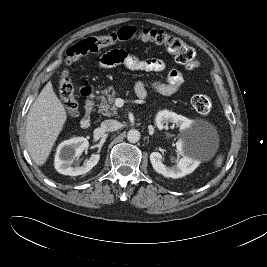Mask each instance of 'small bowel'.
Returning a JSON list of instances; mask_svg holds the SVG:
<instances>
[{
    "instance_id": "obj_1",
    "label": "small bowel",
    "mask_w": 267,
    "mask_h": 267,
    "mask_svg": "<svg viewBox=\"0 0 267 267\" xmlns=\"http://www.w3.org/2000/svg\"><path fill=\"white\" fill-rule=\"evenodd\" d=\"M116 66H123L129 70L162 72L166 69V64L158 58L140 59L134 54L124 50L114 49L105 53L99 60L101 69H108ZM184 84V76L181 71L173 69L168 72L166 80L152 81L153 89L164 96H170L178 92ZM135 93L139 98H145L147 95L146 83L138 81L135 84Z\"/></svg>"
}]
</instances>
